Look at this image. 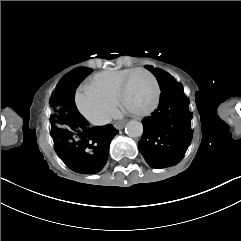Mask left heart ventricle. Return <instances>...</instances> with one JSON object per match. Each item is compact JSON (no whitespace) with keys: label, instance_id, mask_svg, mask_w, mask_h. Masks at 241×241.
Instances as JSON below:
<instances>
[{"label":"left heart ventricle","instance_id":"left-heart-ventricle-1","mask_svg":"<svg viewBox=\"0 0 241 241\" xmlns=\"http://www.w3.org/2000/svg\"><path fill=\"white\" fill-rule=\"evenodd\" d=\"M125 103L127 109L132 112L141 111L149 102L152 101L154 90L151 83L146 80L144 74H137L124 85Z\"/></svg>","mask_w":241,"mask_h":241}]
</instances>
